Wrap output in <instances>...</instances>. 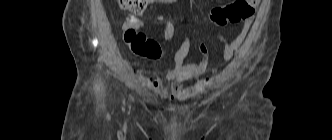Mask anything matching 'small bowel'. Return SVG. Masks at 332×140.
Returning a JSON list of instances; mask_svg holds the SVG:
<instances>
[{"instance_id": "obj_1", "label": "small bowel", "mask_w": 332, "mask_h": 140, "mask_svg": "<svg viewBox=\"0 0 332 140\" xmlns=\"http://www.w3.org/2000/svg\"><path fill=\"white\" fill-rule=\"evenodd\" d=\"M162 4H176L181 3L180 0H154ZM251 26V20L248 19L244 22L243 27L234 40H227L222 34L215 33V37L223 44V60L224 62H229L235 51L241 46L245 40L248 31ZM163 37V36H162ZM164 38V37H163ZM166 39V38H164ZM167 40V39H166ZM191 47V37L186 35L180 47L174 54L175 66L173 69L168 71L164 76L163 80L166 81L170 87H165L163 85L162 79L159 77H150L146 79V84L160 93L166 94L171 91L173 94L181 96L184 91L180 88L185 82L204 78L209 73L208 69V49L207 46L202 43L199 47L201 53V61L198 64L185 63V59L190 51Z\"/></svg>"}]
</instances>
